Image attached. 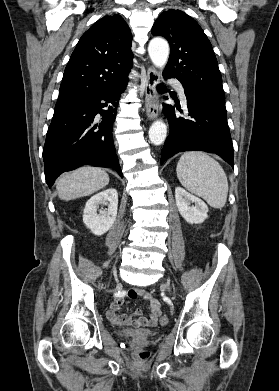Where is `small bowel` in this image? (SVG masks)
<instances>
[{
	"label": "small bowel",
	"instance_id": "1",
	"mask_svg": "<svg viewBox=\"0 0 279 391\" xmlns=\"http://www.w3.org/2000/svg\"><path fill=\"white\" fill-rule=\"evenodd\" d=\"M126 296L131 299L142 298L148 302V308L150 314L148 317L142 315V311L137 309L132 316L119 315L118 311L124 303L122 296L117 297L110 308L106 312L108 320L119 326H133L137 328L142 327H154L158 323L159 316L161 315V309L159 302L154 299L148 292L140 289H130L126 292Z\"/></svg>",
	"mask_w": 279,
	"mask_h": 391
}]
</instances>
